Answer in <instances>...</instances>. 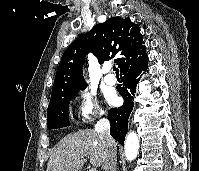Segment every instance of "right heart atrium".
<instances>
[{
    "label": "right heart atrium",
    "instance_id": "d8ad5b80",
    "mask_svg": "<svg viewBox=\"0 0 199 171\" xmlns=\"http://www.w3.org/2000/svg\"><path fill=\"white\" fill-rule=\"evenodd\" d=\"M78 116L83 123H90L95 117L100 116V108L96 97L88 91L82 92L77 99Z\"/></svg>",
    "mask_w": 199,
    "mask_h": 171
}]
</instances>
